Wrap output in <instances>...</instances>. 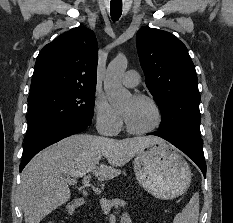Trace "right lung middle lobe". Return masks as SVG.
Masks as SVG:
<instances>
[{"label": "right lung middle lobe", "mask_w": 233, "mask_h": 223, "mask_svg": "<svg viewBox=\"0 0 233 223\" xmlns=\"http://www.w3.org/2000/svg\"><path fill=\"white\" fill-rule=\"evenodd\" d=\"M94 102L95 89L54 88L30 94L24 145L67 120L92 118Z\"/></svg>", "instance_id": "1"}]
</instances>
